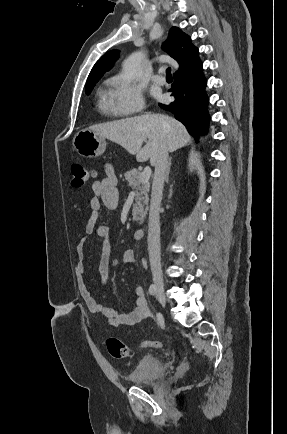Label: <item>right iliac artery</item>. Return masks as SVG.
Listing matches in <instances>:
<instances>
[{
  "label": "right iliac artery",
  "instance_id": "obj_1",
  "mask_svg": "<svg viewBox=\"0 0 287 434\" xmlns=\"http://www.w3.org/2000/svg\"><path fill=\"white\" fill-rule=\"evenodd\" d=\"M149 294L152 295V296L155 294V285H153V284L150 285V287H149Z\"/></svg>",
  "mask_w": 287,
  "mask_h": 434
}]
</instances>
